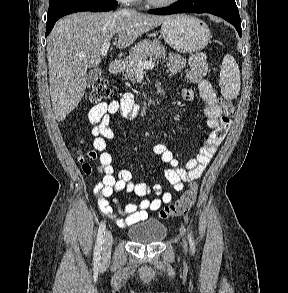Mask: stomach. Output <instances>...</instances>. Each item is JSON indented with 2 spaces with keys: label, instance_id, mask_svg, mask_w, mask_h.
Wrapping results in <instances>:
<instances>
[{
  "label": "stomach",
  "instance_id": "stomach-1",
  "mask_svg": "<svg viewBox=\"0 0 288 293\" xmlns=\"http://www.w3.org/2000/svg\"><path fill=\"white\" fill-rule=\"evenodd\" d=\"M161 34L169 46L181 53L204 49L211 37L206 23L185 14L170 16L162 23Z\"/></svg>",
  "mask_w": 288,
  "mask_h": 293
}]
</instances>
